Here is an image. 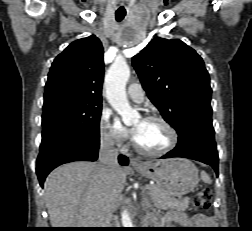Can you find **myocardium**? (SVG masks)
Returning a JSON list of instances; mask_svg holds the SVG:
<instances>
[{"mask_svg":"<svg viewBox=\"0 0 252 231\" xmlns=\"http://www.w3.org/2000/svg\"><path fill=\"white\" fill-rule=\"evenodd\" d=\"M145 120L157 121V122L162 123L170 134V142L165 148L161 150L153 151V150H147L143 148L142 146H140L138 142L135 140V138L133 137L132 143L136 151L146 156H162L172 151L178 143V132L175 129V127L167 119L159 115H149L146 117Z\"/></svg>","mask_w":252,"mask_h":231,"instance_id":"obj_1","label":"myocardium"}]
</instances>
